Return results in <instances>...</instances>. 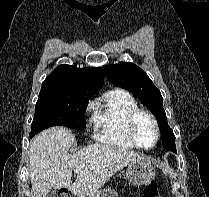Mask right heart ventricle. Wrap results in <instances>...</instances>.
I'll return each instance as SVG.
<instances>
[{
    "label": "right heart ventricle",
    "instance_id": "obj_1",
    "mask_svg": "<svg viewBox=\"0 0 209 197\" xmlns=\"http://www.w3.org/2000/svg\"><path fill=\"white\" fill-rule=\"evenodd\" d=\"M138 108L136 99L129 92L109 91L98 101L92 118L96 138L112 146L134 149L136 146L128 135V118Z\"/></svg>",
    "mask_w": 209,
    "mask_h": 197
}]
</instances>
